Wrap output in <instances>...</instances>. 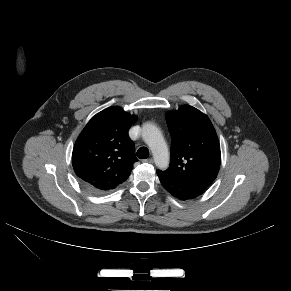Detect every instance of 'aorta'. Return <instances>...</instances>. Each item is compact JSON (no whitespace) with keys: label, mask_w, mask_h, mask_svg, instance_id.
<instances>
[{"label":"aorta","mask_w":291,"mask_h":291,"mask_svg":"<svg viewBox=\"0 0 291 291\" xmlns=\"http://www.w3.org/2000/svg\"><path fill=\"white\" fill-rule=\"evenodd\" d=\"M142 138L149 146L156 166L166 169L169 164V151L159 128L154 124L145 123L142 127Z\"/></svg>","instance_id":"762f6f07"}]
</instances>
